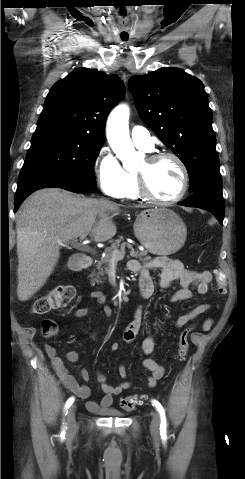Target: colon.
Segmentation results:
<instances>
[{
	"label": "colon",
	"mask_w": 245,
	"mask_h": 479,
	"mask_svg": "<svg viewBox=\"0 0 245 479\" xmlns=\"http://www.w3.org/2000/svg\"><path fill=\"white\" fill-rule=\"evenodd\" d=\"M217 291L219 294L225 293V287L221 274L217 278ZM75 297V289L71 285H60L51 289L46 295L38 298L31 306V313L34 315L46 314L49 311L61 309L69 305ZM193 326H188L182 330L179 335L177 358L183 360L189 350V335ZM41 332L45 337H52L58 333V324L53 319H43L41 322ZM144 399L139 396H129L121 400L120 406L124 411L134 410Z\"/></svg>",
	"instance_id": "1"
}]
</instances>
